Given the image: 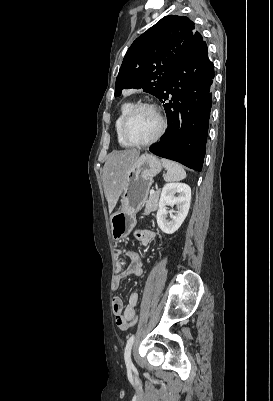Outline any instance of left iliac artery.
<instances>
[{
	"instance_id": "1",
	"label": "left iliac artery",
	"mask_w": 273,
	"mask_h": 401,
	"mask_svg": "<svg viewBox=\"0 0 273 401\" xmlns=\"http://www.w3.org/2000/svg\"><path fill=\"white\" fill-rule=\"evenodd\" d=\"M134 335H132L126 343V347H125V352H124V359H125V364L127 369H133L134 365L131 361V349H132V345L134 343Z\"/></svg>"
}]
</instances>
